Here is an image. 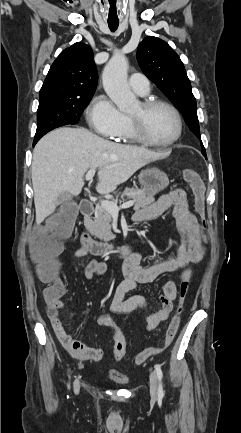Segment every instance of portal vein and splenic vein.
Returning <instances> with one entry per match:
<instances>
[{"instance_id": "1", "label": "portal vein and splenic vein", "mask_w": 241, "mask_h": 433, "mask_svg": "<svg viewBox=\"0 0 241 433\" xmlns=\"http://www.w3.org/2000/svg\"><path fill=\"white\" fill-rule=\"evenodd\" d=\"M96 170L95 169H90L86 176L85 179L87 181L92 180L94 175H95ZM134 205V201H128L123 203L120 207L117 206V204L108 201V200H102L101 201V206L103 208H105L110 214L112 215H117L120 209H126V208H130Z\"/></svg>"}]
</instances>
